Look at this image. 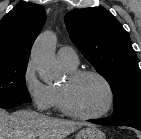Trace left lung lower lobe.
Here are the masks:
<instances>
[{"label":"left lung lower lobe","mask_w":141,"mask_h":139,"mask_svg":"<svg viewBox=\"0 0 141 139\" xmlns=\"http://www.w3.org/2000/svg\"><path fill=\"white\" fill-rule=\"evenodd\" d=\"M90 122L110 126H129L141 131V111L109 119L90 120Z\"/></svg>","instance_id":"1"}]
</instances>
